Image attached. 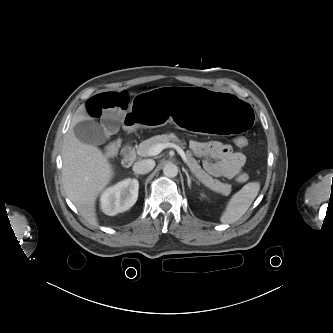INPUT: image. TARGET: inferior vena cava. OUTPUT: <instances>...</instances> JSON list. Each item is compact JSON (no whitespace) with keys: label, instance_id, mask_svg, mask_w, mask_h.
<instances>
[{"label":"inferior vena cava","instance_id":"inferior-vena-cava-1","mask_svg":"<svg viewBox=\"0 0 333 333\" xmlns=\"http://www.w3.org/2000/svg\"><path fill=\"white\" fill-rule=\"evenodd\" d=\"M155 167V161L152 159H144L137 161L133 165V171L136 174H147Z\"/></svg>","mask_w":333,"mask_h":333}]
</instances>
